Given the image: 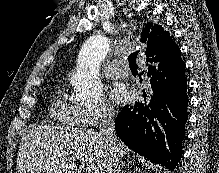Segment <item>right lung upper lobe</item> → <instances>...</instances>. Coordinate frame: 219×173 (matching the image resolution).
Returning a JSON list of instances; mask_svg holds the SVG:
<instances>
[{
  "label": "right lung upper lobe",
  "instance_id": "obj_1",
  "mask_svg": "<svg viewBox=\"0 0 219 173\" xmlns=\"http://www.w3.org/2000/svg\"><path fill=\"white\" fill-rule=\"evenodd\" d=\"M141 40L147 42V59H152L157 55L172 57L181 54L174 38L160 25L147 24L142 31Z\"/></svg>",
  "mask_w": 219,
  "mask_h": 173
}]
</instances>
